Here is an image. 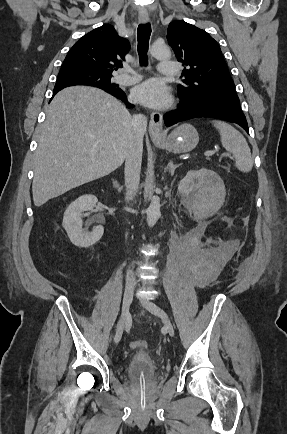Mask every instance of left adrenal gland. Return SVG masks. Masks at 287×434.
I'll list each match as a JSON object with an SVG mask.
<instances>
[{
  "mask_svg": "<svg viewBox=\"0 0 287 434\" xmlns=\"http://www.w3.org/2000/svg\"><path fill=\"white\" fill-rule=\"evenodd\" d=\"M177 167H179V165L174 164L173 161L171 160V161L168 163L167 167L165 168V171H169V173L171 174V176H173V175H174V171H175V169H176Z\"/></svg>",
  "mask_w": 287,
  "mask_h": 434,
  "instance_id": "1",
  "label": "left adrenal gland"
}]
</instances>
